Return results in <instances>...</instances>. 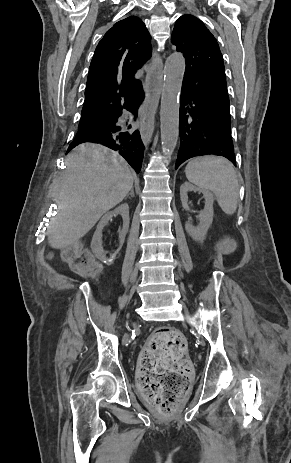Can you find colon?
Wrapping results in <instances>:
<instances>
[{
    "mask_svg": "<svg viewBox=\"0 0 291 463\" xmlns=\"http://www.w3.org/2000/svg\"><path fill=\"white\" fill-rule=\"evenodd\" d=\"M226 242L222 247H227ZM63 260L79 275L100 271V265L86 248L74 244L63 250ZM187 340L174 328L155 331L140 355L139 382L143 397L163 415H171L190 385L186 360Z\"/></svg>",
    "mask_w": 291,
    "mask_h": 463,
    "instance_id": "colon-1",
    "label": "colon"
}]
</instances>
